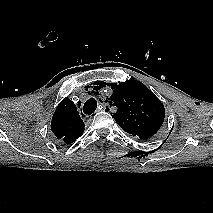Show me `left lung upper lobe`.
Wrapping results in <instances>:
<instances>
[{
	"mask_svg": "<svg viewBox=\"0 0 213 213\" xmlns=\"http://www.w3.org/2000/svg\"><path fill=\"white\" fill-rule=\"evenodd\" d=\"M113 94L109 103L117 107L111 113L117 124L127 133L146 140L152 137L163 124V103L143 83L128 80L110 84Z\"/></svg>",
	"mask_w": 213,
	"mask_h": 213,
	"instance_id": "obj_1",
	"label": "left lung upper lobe"
}]
</instances>
